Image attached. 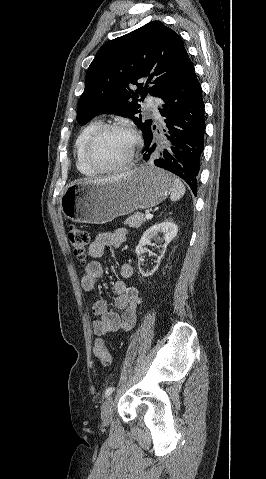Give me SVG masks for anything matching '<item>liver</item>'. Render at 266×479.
Returning a JSON list of instances; mask_svg holds the SVG:
<instances>
[{
  "label": "liver",
  "mask_w": 266,
  "mask_h": 479,
  "mask_svg": "<svg viewBox=\"0 0 266 479\" xmlns=\"http://www.w3.org/2000/svg\"><path fill=\"white\" fill-rule=\"evenodd\" d=\"M129 174H130V172L129 173H123V174H120V175L114 176V177H108V178L96 179V180H89V181H86V182L104 183V182H108V181H116V180H120V179L125 178Z\"/></svg>",
  "instance_id": "obj_1"
}]
</instances>
